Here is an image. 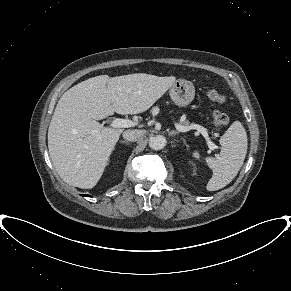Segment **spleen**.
<instances>
[{"label":"spleen","mask_w":291,"mask_h":291,"mask_svg":"<svg viewBox=\"0 0 291 291\" xmlns=\"http://www.w3.org/2000/svg\"><path fill=\"white\" fill-rule=\"evenodd\" d=\"M222 146L220 154L215 158L207 157L206 163L212 169L213 175L206 188L216 191L228 185L241 169L247 153V134L242 123L235 121L220 138ZM193 156L199 158V153Z\"/></svg>","instance_id":"3e777b00"}]
</instances>
